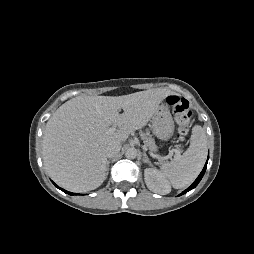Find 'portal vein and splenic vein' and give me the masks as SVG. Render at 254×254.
Wrapping results in <instances>:
<instances>
[{
	"mask_svg": "<svg viewBox=\"0 0 254 254\" xmlns=\"http://www.w3.org/2000/svg\"><path fill=\"white\" fill-rule=\"evenodd\" d=\"M115 130H116V127H115V126L110 127V128L108 129V133H113ZM173 151L175 152V158H179V157H180V152H179V150L174 149ZM150 155H152L153 157H156L157 159H163V158H161V157H159V156L153 155L152 153H150Z\"/></svg>",
	"mask_w": 254,
	"mask_h": 254,
	"instance_id": "portal-vein-and-splenic-vein-1",
	"label": "portal vein and splenic vein"
}]
</instances>
